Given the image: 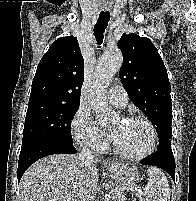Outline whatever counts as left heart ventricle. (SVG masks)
Masks as SVG:
<instances>
[{"mask_svg":"<svg viewBox=\"0 0 196 201\" xmlns=\"http://www.w3.org/2000/svg\"><path fill=\"white\" fill-rule=\"evenodd\" d=\"M109 130L119 147L128 154H140L150 145V131L143 122L119 118L110 125Z\"/></svg>","mask_w":196,"mask_h":201,"instance_id":"left-heart-ventricle-1","label":"left heart ventricle"}]
</instances>
